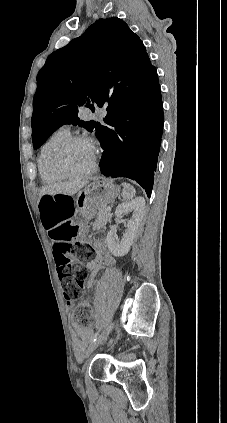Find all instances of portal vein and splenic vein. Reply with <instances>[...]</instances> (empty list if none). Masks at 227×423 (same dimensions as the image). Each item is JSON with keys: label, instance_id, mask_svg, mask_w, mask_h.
Returning <instances> with one entry per match:
<instances>
[{"label": "portal vein and splenic vein", "instance_id": "obj_1", "mask_svg": "<svg viewBox=\"0 0 227 423\" xmlns=\"http://www.w3.org/2000/svg\"><path fill=\"white\" fill-rule=\"evenodd\" d=\"M106 211H111V208H106Z\"/></svg>", "mask_w": 227, "mask_h": 423}]
</instances>
